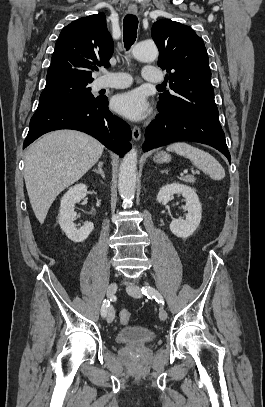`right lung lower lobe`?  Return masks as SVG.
<instances>
[{
	"label": "right lung lower lobe",
	"instance_id": "1",
	"mask_svg": "<svg viewBox=\"0 0 265 407\" xmlns=\"http://www.w3.org/2000/svg\"><path fill=\"white\" fill-rule=\"evenodd\" d=\"M58 129H74L98 139L120 157L129 150L131 130L126 122L108 109L106 97H97L89 103L50 109L36 113L30 120L29 132L23 148L41 135Z\"/></svg>",
	"mask_w": 265,
	"mask_h": 407
}]
</instances>
